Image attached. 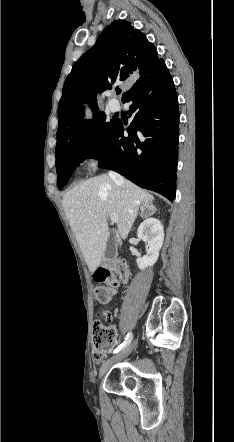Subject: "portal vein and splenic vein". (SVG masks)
I'll use <instances>...</instances> for the list:
<instances>
[{"mask_svg":"<svg viewBox=\"0 0 234 442\" xmlns=\"http://www.w3.org/2000/svg\"><path fill=\"white\" fill-rule=\"evenodd\" d=\"M110 219H111V221H112L113 223H117V222H118V217H117V215L114 214V213H112V214L110 215Z\"/></svg>","mask_w":234,"mask_h":442,"instance_id":"1","label":"portal vein and splenic vein"}]
</instances>
